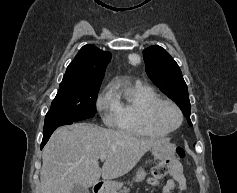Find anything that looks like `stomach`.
I'll use <instances>...</instances> for the list:
<instances>
[{
	"instance_id": "0dacf381",
	"label": "stomach",
	"mask_w": 237,
	"mask_h": 193,
	"mask_svg": "<svg viewBox=\"0 0 237 193\" xmlns=\"http://www.w3.org/2000/svg\"><path fill=\"white\" fill-rule=\"evenodd\" d=\"M174 146L167 141H162L152 147V154L154 158L163 160L173 155ZM146 176L144 168L140 167L135 176V181H142ZM122 184L118 182L106 183L101 193H119Z\"/></svg>"
}]
</instances>
